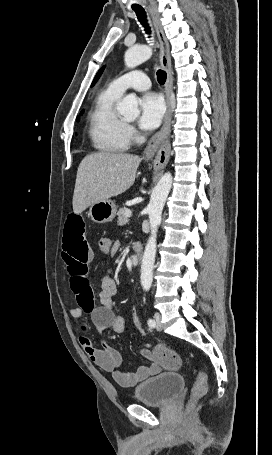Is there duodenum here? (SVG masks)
Listing matches in <instances>:
<instances>
[{"label": "duodenum", "mask_w": 272, "mask_h": 455, "mask_svg": "<svg viewBox=\"0 0 272 455\" xmlns=\"http://www.w3.org/2000/svg\"><path fill=\"white\" fill-rule=\"evenodd\" d=\"M133 251L137 261H140L143 256V247L140 243L136 242L133 244Z\"/></svg>", "instance_id": "410a0bca"}]
</instances>
